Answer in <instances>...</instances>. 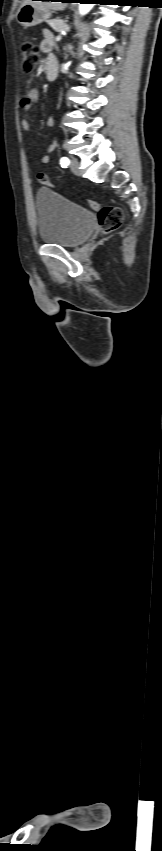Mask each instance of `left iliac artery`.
<instances>
[{"instance_id":"1","label":"left iliac artery","mask_w":162,"mask_h":851,"mask_svg":"<svg viewBox=\"0 0 162 851\" xmlns=\"http://www.w3.org/2000/svg\"><path fill=\"white\" fill-rule=\"evenodd\" d=\"M70 163V160L67 157H62L60 160V164L62 167H67Z\"/></svg>"}]
</instances>
